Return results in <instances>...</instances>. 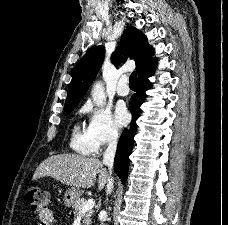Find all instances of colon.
<instances>
[{
  "label": "colon",
  "instance_id": "colon-1",
  "mask_svg": "<svg viewBox=\"0 0 228 225\" xmlns=\"http://www.w3.org/2000/svg\"><path fill=\"white\" fill-rule=\"evenodd\" d=\"M26 202L32 207L39 217L44 216L43 212L48 206V192L41 187H29L26 191Z\"/></svg>",
  "mask_w": 228,
  "mask_h": 225
}]
</instances>
